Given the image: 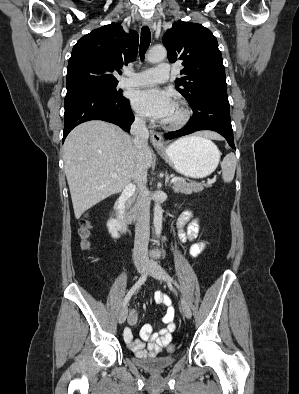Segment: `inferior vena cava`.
Wrapping results in <instances>:
<instances>
[{"label": "inferior vena cava", "mask_w": 299, "mask_h": 394, "mask_svg": "<svg viewBox=\"0 0 299 394\" xmlns=\"http://www.w3.org/2000/svg\"><path fill=\"white\" fill-rule=\"evenodd\" d=\"M130 132L134 136L133 143L137 152V172L135 182L138 185L136 199L137 222L133 253L136 264L142 263L148 265L150 202L148 199V192L145 187L147 182V167L143 162V151L148 145L149 132L146 128L145 120L142 117H135V120L131 125Z\"/></svg>", "instance_id": "602c4592"}]
</instances>
